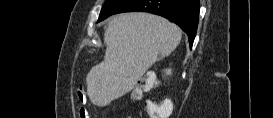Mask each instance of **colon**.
<instances>
[{
  "label": "colon",
  "mask_w": 273,
  "mask_h": 118,
  "mask_svg": "<svg viewBox=\"0 0 273 118\" xmlns=\"http://www.w3.org/2000/svg\"><path fill=\"white\" fill-rule=\"evenodd\" d=\"M151 85L150 79H145L143 82H141L138 86V91L135 92V96H138L139 93L143 88H146ZM172 109V104L169 100H165L162 104L156 105V104H150L149 110L153 116L157 117H166L170 114Z\"/></svg>",
  "instance_id": "1"
}]
</instances>
